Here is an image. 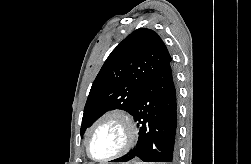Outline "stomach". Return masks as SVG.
<instances>
[{"label":"stomach","instance_id":"obj_1","mask_svg":"<svg viewBox=\"0 0 251 164\" xmlns=\"http://www.w3.org/2000/svg\"><path fill=\"white\" fill-rule=\"evenodd\" d=\"M129 164H143L141 162H134V163H129Z\"/></svg>","mask_w":251,"mask_h":164}]
</instances>
